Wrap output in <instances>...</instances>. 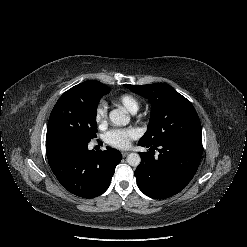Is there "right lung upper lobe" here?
Returning a JSON list of instances; mask_svg holds the SVG:
<instances>
[{
    "instance_id": "right-lung-upper-lobe-1",
    "label": "right lung upper lobe",
    "mask_w": 247,
    "mask_h": 247,
    "mask_svg": "<svg viewBox=\"0 0 247 247\" xmlns=\"http://www.w3.org/2000/svg\"><path fill=\"white\" fill-rule=\"evenodd\" d=\"M102 87L103 84L101 82L95 80H89L72 87V89L79 91H91Z\"/></svg>"
}]
</instances>
